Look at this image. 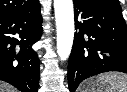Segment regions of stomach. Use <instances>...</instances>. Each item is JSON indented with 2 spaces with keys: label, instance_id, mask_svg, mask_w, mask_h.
Wrapping results in <instances>:
<instances>
[{
  "label": "stomach",
  "instance_id": "0dacf381",
  "mask_svg": "<svg viewBox=\"0 0 127 92\" xmlns=\"http://www.w3.org/2000/svg\"><path fill=\"white\" fill-rule=\"evenodd\" d=\"M96 88L99 90L100 86H98L95 82H90L83 92H95Z\"/></svg>",
  "mask_w": 127,
  "mask_h": 92
}]
</instances>
